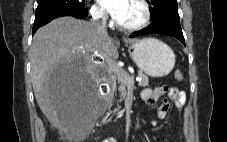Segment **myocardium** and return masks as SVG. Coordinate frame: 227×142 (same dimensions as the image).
Here are the masks:
<instances>
[{"label":"myocardium","mask_w":227,"mask_h":142,"mask_svg":"<svg viewBox=\"0 0 227 142\" xmlns=\"http://www.w3.org/2000/svg\"><path fill=\"white\" fill-rule=\"evenodd\" d=\"M142 8V18L137 23L131 25H124L119 22L116 23L117 28L123 31H138L147 27L152 18V9L147 0H136Z\"/></svg>","instance_id":"1"}]
</instances>
